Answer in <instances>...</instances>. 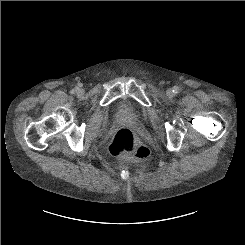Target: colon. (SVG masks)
<instances>
[{"label":"colon","instance_id":"colon-1","mask_svg":"<svg viewBox=\"0 0 245 245\" xmlns=\"http://www.w3.org/2000/svg\"><path fill=\"white\" fill-rule=\"evenodd\" d=\"M109 151L113 156H121L132 159H146L150 152L143 144L139 143L133 132L128 128L117 131L109 145Z\"/></svg>","mask_w":245,"mask_h":245}]
</instances>
